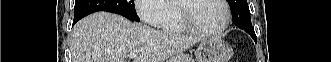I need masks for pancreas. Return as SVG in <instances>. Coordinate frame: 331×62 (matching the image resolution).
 Here are the masks:
<instances>
[{"label":"pancreas","mask_w":331,"mask_h":62,"mask_svg":"<svg viewBox=\"0 0 331 62\" xmlns=\"http://www.w3.org/2000/svg\"><path fill=\"white\" fill-rule=\"evenodd\" d=\"M169 62H194V60L189 55H181L171 58Z\"/></svg>","instance_id":"obj_1"}]
</instances>
